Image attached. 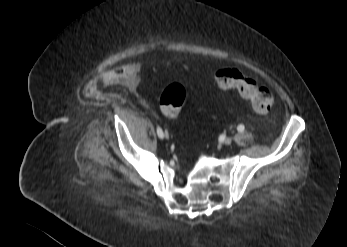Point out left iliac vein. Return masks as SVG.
Returning <instances> with one entry per match:
<instances>
[{
	"label": "left iliac vein",
	"instance_id": "obj_1",
	"mask_svg": "<svg viewBox=\"0 0 347 247\" xmlns=\"http://www.w3.org/2000/svg\"><path fill=\"white\" fill-rule=\"evenodd\" d=\"M231 143H232V138L230 137L225 138L223 141V144L225 145H230Z\"/></svg>",
	"mask_w": 347,
	"mask_h": 247
}]
</instances>
